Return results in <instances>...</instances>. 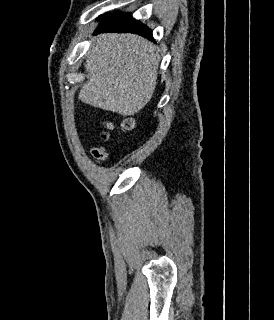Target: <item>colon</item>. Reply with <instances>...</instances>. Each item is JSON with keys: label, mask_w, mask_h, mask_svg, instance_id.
Returning <instances> with one entry per match:
<instances>
[{"label": "colon", "mask_w": 274, "mask_h": 320, "mask_svg": "<svg viewBox=\"0 0 274 320\" xmlns=\"http://www.w3.org/2000/svg\"><path fill=\"white\" fill-rule=\"evenodd\" d=\"M104 126L106 127L108 124L104 123ZM122 127L127 130L133 129L135 127V122L131 119H128L122 124Z\"/></svg>", "instance_id": "1"}]
</instances>
